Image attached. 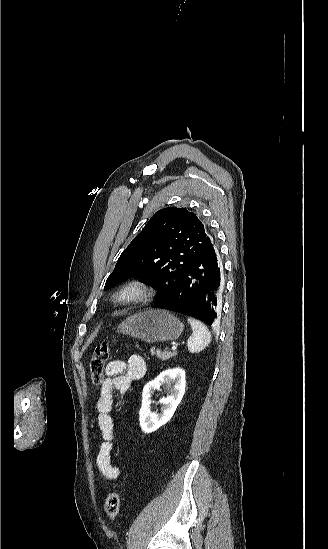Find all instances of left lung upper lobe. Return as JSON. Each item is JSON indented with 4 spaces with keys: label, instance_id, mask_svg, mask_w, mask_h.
I'll return each mask as SVG.
<instances>
[{
    "label": "left lung upper lobe",
    "instance_id": "left-lung-upper-lobe-1",
    "mask_svg": "<svg viewBox=\"0 0 328 549\" xmlns=\"http://www.w3.org/2000/svg\"><path fill=\"white\" fill-rule=\"evenodd\" d=\"M210 245L211 238L194 213L161 209L122 252L104 288L137 275L157 290L159 300L172 292L187 267Z\"/></svg>",
    "mask_w": 328,
    "mask_h": 549
}]
</instances>
